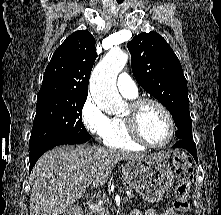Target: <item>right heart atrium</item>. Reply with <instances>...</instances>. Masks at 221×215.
I'll list each match as a JSON object with an SVG mask.
<instances>
[{"label": "right heart atrium", "mask_w": 221, "mask_h": 215, "mask_svg": "<svg viewBox=\"0 0 221 215\" xmlns=\"http://www.w3.org/2000/svg\"><path fill=\"white\" fill-rule=\"evenodd\" d=\"M80 117L84 128L93 136L103 139L110 130V118L93 97L88 96L82 105Z\"/></svg>", "instance_id": "right-heart-atrium-1"}]
</instances>
